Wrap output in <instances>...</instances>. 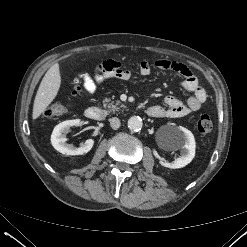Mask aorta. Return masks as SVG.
I'll use <instances>...</instances> for the list:
<instances>
[{
	"label": "aorta",
	"instance_id": "762f6f07",
	"mask_svg": "<svg viewBox=\"0 0 247 247\" xmlns=\"http://www.w3.org/2000/svg\"><path fill=\"white\" fill-rule=\"evenodd\" d=\"M143 126L142 119L139 116H132L128 120V128L130 131L138 132Z\"/></svg>",
	"mask_w": 247,
	"mask_h": 247
}]
</instances>
